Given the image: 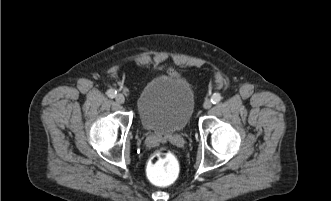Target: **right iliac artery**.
<instances>
[{"label": "right iliac artery", "mask_w": 331, "mask_h": 201, "mask_svg": "<svg viewBox=\"0 0 331 201\" xmlns=\"http://www.w3.org/2000/svg\"><path fill=\"white\" fill-rule=\"evenodd\" d=\"M116 94H117V91L114 90V89H109V90L107 91V95H108V97H110V98H115V97H116Z\"/></svg>", "instance_id": "right-iliac-artery-1"}]
</instances>
